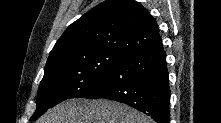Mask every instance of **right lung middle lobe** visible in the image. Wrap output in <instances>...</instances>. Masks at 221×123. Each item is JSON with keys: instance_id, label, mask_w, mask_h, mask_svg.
I'll use <instances>...</instances> for the list:
<instances>
[{"instance_id": "obj_1", "label": "right lung middle lobe", "mask_w": 221, "mask_h": 123, "mask_svg": "<svg viewBox=\"0 0 221 123\" xmlns=\"http://www.w3.org/2000/svg\"><path fill=\"white\" fill-rule=\"evenodd\" d=\"M127 57L107 48L83 50L46 63L37 108L31 121L50 107L70 98H86L99 82Z\"/></svg>"}]
</instances>
